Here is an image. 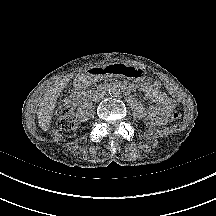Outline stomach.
<instances>
[{"mask_svg":"<svg viewBox=\"0 0 216 216\" xmlns=\"http://www.w3.org/2000/svg\"><path fill=\"white\" fill-rule=\"evenodd\" d=\"M107 73L110 76L118 78H128L133 81H142L145 78V71L141 68L128 65H110L107 68Z\"/></svg>","mask_w":216,"mask_h":216,"instance_id":"obj_1","label":"stomach"}]
</instances>
